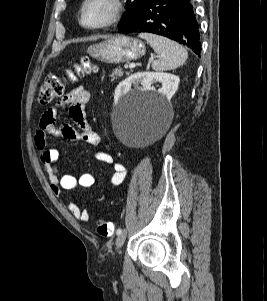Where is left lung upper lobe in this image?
I'll use <instances>...</instances> for the list:
<instances>
[{"label": "left lung upper lobe", "mask_w": 267, "mask_h": 301, "mask_svg": "<svg viewBox=\"0 0 267 301\" xmlns=\"http://www.w3.org/2000/svg\"><path fill=\"white\" fill-rule=\"evenodd\" d=\"M146 1L147 0H126V12H124L123 14L122 21L119 24V27L133 21L137 17L139 11Z\"/></svg>", "instance_id": "obj_1"}]
</instances>
